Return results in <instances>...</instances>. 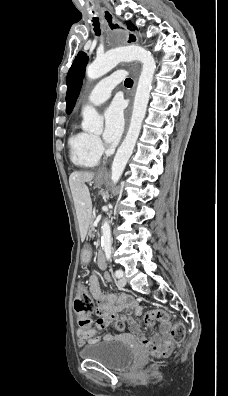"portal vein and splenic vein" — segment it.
<instances>
[{
    "instance_id": "1",
    "label": "portal vein and splenic vein",
    "mask_w": 228,
    "mask_h": 396,
    "mask_svg": "<svg viewBox=\"0 0 228 396\" xmlns=\"http://www.w3.org/2000/svg\"><path fill=\"white\" fill-rule=\"evenodd\" d=\"M97 223H98V221H94L93 225L95 226V225H97Z\"/></svg>"
}]
</instances>
